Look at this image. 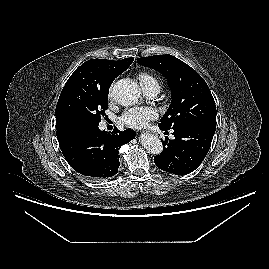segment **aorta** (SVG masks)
Returning <instances> with one entry per match:
<instances>
[{
    "label": "aorta",
    "instance_id": "aorta-1",
    "mask_svg": "<svg viewBox=\"0 0 269 269\" xmlns=\"http://www.w3.org/2000/svg\"><path fill=\"white\" fill-rule=\"evenodd\" d=\"M113 99L122 106L135 104L141 94L140 87L130 79L117 81L111 90ZM143 147L153 155H159L163 151V144L156 135L145 133L140 136Z\"/></svg>",
    "mask_w": 269,
    "mask_h": 269
}]
</instances>
